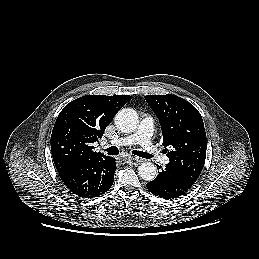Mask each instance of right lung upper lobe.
<instances>
[{"label": "right lung upper lobe", "instance_id": "1", "mask_svg": "<svg viewBox=\"0 0 259 259\" xmlns=\"http://www.w3.org/2000/svg\"><path fill=\"white\" fill-rule=\"evenodd\" d=\"M131 98L129 95H86L67 104L51 134V152L57 171L108 157L94 151L92 144L102 137L115 114Z\"/></svg>", "mask_w": 259, "mask_h": 259}]
</instances>
